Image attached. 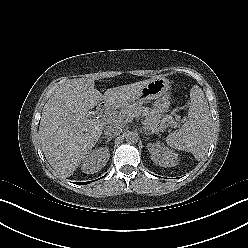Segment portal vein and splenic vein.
<instances>
[{
  "instance_id": "obj_1",
  "label": "portal vein and splenic vein",
  "mask_w": 248,
  "mask_h": 248,
  "mask_svg": "<svg viewBox=\"0 0 248 248\" xmlns=\"http://www.w3.org/2000/svg\"><path fill=\"white\" fill-rule=\"evenodd\" d=\"M111 119H112L113 121H116V119H120V117H118L117 115H114V116L111 117Z\"/></svg>"
}]
</instances>
